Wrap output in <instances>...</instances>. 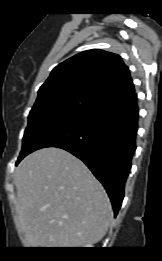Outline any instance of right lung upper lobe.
Returning a JSON list of instances; mask_svg holds the SVG:
<instances>
[{
  "label": "right lung upper lobe",
  "mask_w": 162,
  "mask_h": 261,
  "mask_svg": "<svg viewBox=\"0 0 162 261\" xmlns=\"http://www.w3.org/2000/svg\"><path fill=\"white\" fill-rule=\"evenodd\" d=\"M128 67L117 54L81 52L56 66L38 91V98L67 92L84 93L100 103L134 92Z\"/></svg>",
  "instance_id": "obj_1"
}]
</instances>
